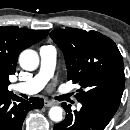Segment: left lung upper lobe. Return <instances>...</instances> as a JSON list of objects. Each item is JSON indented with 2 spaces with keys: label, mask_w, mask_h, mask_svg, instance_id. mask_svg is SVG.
<instances>
[{
  "label": "left lung upper lobe",
  "mask_w": 130,
  "mask_h": 130,
  "mask_svg": "<svg viewBox=\"0 0 130 130\" xmlns=\"http://www.w3.org/2000/svg\"><path fill=\"white\" fill-rule=\"evenodd\" d=\"M50 37L64 54L68 80L81 87L77 100H101L118 108L125 75L116 44L99 32L81 29H56Z\"/></svg>",
  "instance_id": "5c2ea615"
}]
</instances>
